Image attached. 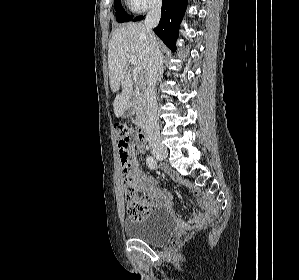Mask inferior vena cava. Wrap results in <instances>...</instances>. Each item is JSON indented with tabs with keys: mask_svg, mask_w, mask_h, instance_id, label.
Returning a JSON list of instances; mask_svg holds the SVG:
<instances>
[{
	"mask_svg": "<svg viewBox=\"0 0 299 280\" xmlns=\"http://www.w3.org/2000/svg\"><path fill=\"white\" fill-rule=\"evenodd\" d=\"M161 0H155L151 5V9L147 14L144 24L149 39L150 60L147 67L146 85L144 90V103L146 109V134L150 145L160 144V130L157 116V100L155 86L163 75V57L156 42V37L153 33L160 20L161 16Z\"/></svg>",
	"mask_w": 299,
	"mask_h": 280,
	"instance_id": "602c4592",
	"label": "inferior vena cava"
}]
</instances>
